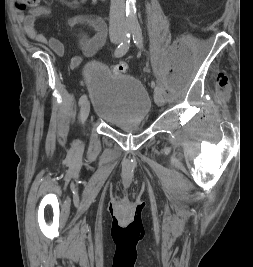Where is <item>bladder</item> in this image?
Wrapping results in <instances>:
<instances>
[{"mask_svg": "<svg viewBox=\"0 0 253 267\" xmlns=\"http://www.w3.org/2000/svg\"><path fill=\"white\" fill-rule=\"evenodd\" d=\"M88 89L96 117L109 124L139 123L149 116L150 95L145 86L130 75L95 64L90 69Z\"/></svg>", "mask_w": 253, "mask_h": 267, "instance_id": "31cf9c89", "label": "bladder"}]
</instances>
